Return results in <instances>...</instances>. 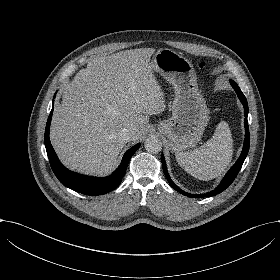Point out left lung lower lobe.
I'll use <instances>...</instances> for the list:
<instances>
[{"label": "left lung lower lobe", "instance_id": "1", "mask_svg": "<svg viewBox=\"0 0 280 280\" xmlns=\"http://www.w3.org/2000/svg\"><path fill=\"white\" fill-rule=\"evenodd\" d=\"M231 86L234 88V90L236 91L240 101L242 102L243 106H244V115H245V120H244V126H245V140H244V146H243V150L242 153L239 157V159L237 160V162L232 166V168L228 171V173L225 175V177L223 178L222 182L220 183V185L215 188V190L208 192L206 194H200V195H193L190 193H186L185 191L181 190L178 186H176L173 181L171 180L168 172H167V168H166V163L164 160L163 155L161 156V161H162V166H163V171L164 174L169 182V184L178 192L182 193L183 195L189 196V197H195V198H202V197H209V196H214L216 194L221 193L222 191H224L236 178L238 172L240 171L242 164L247 156L248 150H249V144H250V134H249V128H248V122H247V116H248V103L246 100V97L244 96V94L242 93V91L240 90L239 86L234 82V81H230Z\"/></svg>", "mask_w": 280, "mask_h": 280}]
</instances>
